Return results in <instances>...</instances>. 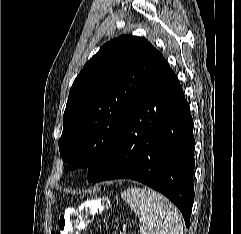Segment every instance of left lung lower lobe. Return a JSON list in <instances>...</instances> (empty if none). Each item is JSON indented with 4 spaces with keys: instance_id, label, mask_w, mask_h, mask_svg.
Instances as JSON below:
<instances>
[{
    "instance_id": "obj_1",
    "label": "left lung lower lobe",
    "mask_w": 241,
    "mask_h": 234,
    "mask_svg": "<svg viewBox=\"0 0 241 234\" xmlns=\"http://www.w3.org/2000/svg\"><path fill=\"white\" fill-rule=\"evenodd\" d=\"M194 168L190 108L164 59L131 106L104 165L91 182L140 181L168 197L188 227Z\"/></svg>"
}]
</instances>
